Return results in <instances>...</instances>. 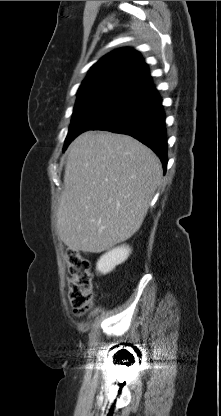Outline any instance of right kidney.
Returning <instances> with one entry per match:
<instances>
[{
	"label": "right kidney",
	"mask_w": 221,
	"mask_h": 416,
	"mask_svg": "<svg viewBox=\"0 0 221 416\" xmlns=\"http://www.w3.org/2000/svg\"><path fill=\"white\" fill-rule=\"evenodd\" d=\"M131 253L128 246L116 247L100 257L96 270L102 274L111 272L117 265L125 262Z\"/></svg>",
	"instance_id": "right-kidney-1"
}]
</instances>
